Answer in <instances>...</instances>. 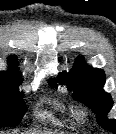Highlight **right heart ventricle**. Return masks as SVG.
<instances>
[{
    "instance_id": "obj_1",
    "label": "right heart ventricle",
    "mask_w": 116,
    "mask_h": 134,
    "mask_svg": "<svg viewBox=\"0 0 116 134\" xmlns=\"http://www.w3.org/2000/svg\"><path fill=\"white\" fill-rule=\"evenodd\" d=\"M40 116L42 119L48 120L54 124L60 125V126H68L69 128L73 127V121L70 115L68 114H53L48 111H43L40 113Z\"/></svg>"
}]
</instances>
